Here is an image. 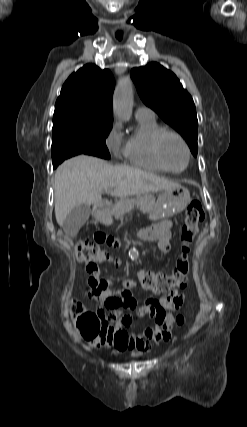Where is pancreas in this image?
Returning <instances> with one entry per match:
<instances>
[{"mask_svg":"<svg viewBox=\"0 0 247 427\" xmlns=\"http://www.w3.org/2000/svg\"><path fill=\"white\" fill-rule=\"evenodd\" d=\"M155 204V198L152 195L136 196L135 198H122L113 206L111 215L116 219L122 218L125 213L135 207L143 212L151 211Z\"/></svg>","mask_w":247,"mask_h":427,"instance_id":"1","label":"pancreas"}]
</instances>
